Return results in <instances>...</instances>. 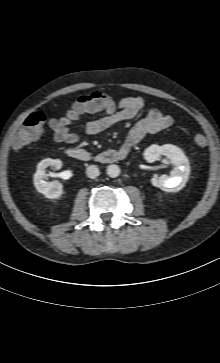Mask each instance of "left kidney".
Returning <instances> with one entry per match:
<instances>
[{"instance_id":"1","label":"left kidney","mask_w":220,"mask_h":363,"mask_svg":"<svg viewBox=\"0 0 220 363\" xmlns=\"http://www.w3.org/2000/svg\"><path fill=\"white\" fill-rule=\"evenodd\" d=\"M161 155H165L175 165V168L171 176L154 177L151 183L163 191L178 192L188 180L190 173L189 161L181 149L171 144L163 146L151 145L144 152V157L148 162H154Z\"/></svg>"}]
</instances>
